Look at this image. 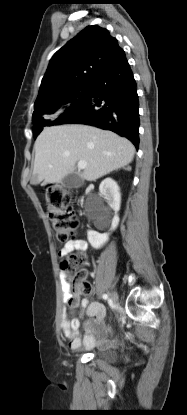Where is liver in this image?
<instances>
[{
  "label": "liver",
  "mask_w": 187,
  "mask_h": 415,
  "mask_svg": "<svg viewBox=\"0 0 187 415\" xmlns=\"http://www.w3.org/2000/svg\"><path fill=\"white\" fill-rule=\"evenodd\" d=\"M34 149L32 185L61 182L79 161L87 163L80 177L95 181L131 163L135 154L128 139L78 124L47 127L36 139Z\"/></svg>",
  "instance_id": "obj_1"
}]
</instances>
